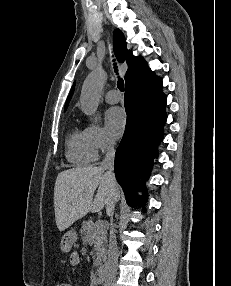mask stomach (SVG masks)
Here are the masks:
<instances>
[{"label": "stomach", "instance_id": "stomach-1", "mask_svg": "<svg viewBox=\"0 0 231 286\" xmlns=\"http://www.w3.org/2000/svg\"><path fill=\"white\" fill-rule=\"evenodd\" d=\"M77 241V234L75 231L66 232L60 243L61 251L67 253L72 248L73 244Z\"/></svg>", "mask_w": 231, "mask_h": 286}]
</instances>
